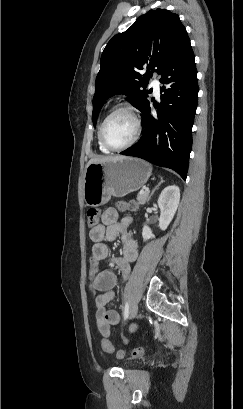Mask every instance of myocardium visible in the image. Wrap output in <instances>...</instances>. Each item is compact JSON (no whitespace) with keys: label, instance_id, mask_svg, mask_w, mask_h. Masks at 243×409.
Instances as JSON below:
<instances>
[{"label":"myocardium","instance_id":"obj_1","mask_svg":"<svg viewBox=\"0 0 243 409\" xmlns=\"http://www.w3.org/2000/svg\"><path fill=\"white\" fill-rule=\"evenodd\" d=\"M121 112H126L128 113L134 120L135 123V133L134 136L131 138L130 141H128L126 144L122 146H113L111 145L106 137H105V126L110 118H112L114 115L121 113ZM142 132V121L140 117L139 110L132 104L126 103V104H121L114 108L103 120V122L100 125L99 128V139L101 143L110 151H122L130 146H132L140 137Z\"/></svg>","mask_w":243,"mask_h":409}]
</instances>
